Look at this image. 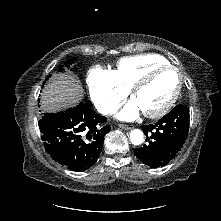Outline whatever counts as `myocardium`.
<instances>
[{"mask_svg": "<svg viewBox=\"0 0 221 221\" xmlns=\"http://www.w3.org/2000/svg\"><path fill=\"white\" fill-rule=\"evenodd\" d=\"M167 70H171V71L176 72V74L178 76L177 87H176L173 95L171 96V98L168 100V102L164 106H162L160 109H158L156 111H152V112L143 111L144 116H146L147 118L154 119V118L162 117L166 113H168L172 109V107L175 105V103L177 102V100L179 98V95L181 93L182 86H183V75H182L181 71L176 66H173L170 64L153 67V68L149 69L145 74H143L137 80V82L133 85V87L131 88V98L134 99L136 94L143 87H145L147 84H149L151 82V80L158 73L163 72V71H167Z\"/></svg>", "mask_w": 221, "mask_h": 221, "instance_id": "obj_1", "label": "myocardium"}]
</instances>
